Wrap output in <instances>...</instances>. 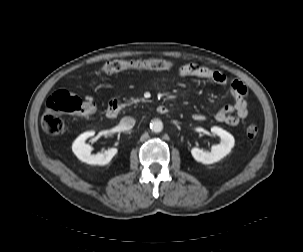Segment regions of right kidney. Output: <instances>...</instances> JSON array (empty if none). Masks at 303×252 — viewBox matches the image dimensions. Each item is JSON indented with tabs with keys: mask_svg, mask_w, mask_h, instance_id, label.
<instances>
[{
	"mask_svg": "<svg viewBox=\"0 0 303 252\" xmlns=\"http://www.w3.org/2000/svg\"><path fill=\"white\" fill-rule=\"evenodd\" d=\"M95 135L94 131H88L81 134L73 143L72 151L79 160L90 165H106L117 154V148H110L104 153L91 154V147L86 144L89 137Z\"/></svg>",
	"mask_w": 303,
	"mask_h": 252,
	"instance_id": "1",
	"label": "right kidney"
}]
</instances>
